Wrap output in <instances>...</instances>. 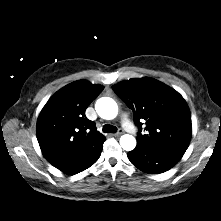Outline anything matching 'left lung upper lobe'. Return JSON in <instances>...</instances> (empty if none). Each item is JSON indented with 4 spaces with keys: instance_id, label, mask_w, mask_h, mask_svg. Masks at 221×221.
Here are the masks:
<instances>
[{
    "instance_id": "obj_1",
    "label": "left lung upper lobe",
    "mask_w": 221,
    "mask_h": 221,
    "mask_svg": "<svg viewBox=\"0 0 221 221\" xmlns=\"http://www.w3.org/2000/svg\"><path fill=\"white\" fill-rule=\"evenodd\" d=\"M112 89L133 111L138 147L185 153L192 135L191 114L178 92L152 78L122 81Z\"/></svg>"
}]
</instances>
